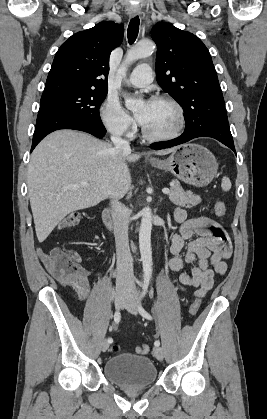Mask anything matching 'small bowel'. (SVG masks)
I'll return each instance as SVG.
<instances>
[{"label":"small bowel","mask_w":267,"mask_h":419,"mask_svg":"<svg viewBox=\"0 0 267 419\" xmlns=\"http://www.w3.org/2000/svg\"><path fill=\"white\" fill-rule=\"evenodd\" d=\"M174 217L180 223V230L172 239L169 267L177 274L175 281L181 290L194 287L197 288L194 295L202 297L212 288L215 275H224L227 271L226 261L232 254L230 239L221 225L210 218L187 219L182 208L176 209ZM185 246L186 251L181 256ZM38 257L59 284L71 286L81 302L88 299L90 285L86 270L77 276L62 277L53 271L41 249L38 250ZM184 264L191 266L190 272L183 270Z\"/></svg>","instance_id":"small-bowel-1"}]
</instances>
